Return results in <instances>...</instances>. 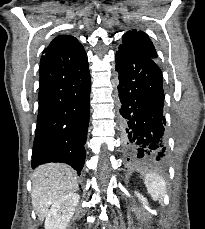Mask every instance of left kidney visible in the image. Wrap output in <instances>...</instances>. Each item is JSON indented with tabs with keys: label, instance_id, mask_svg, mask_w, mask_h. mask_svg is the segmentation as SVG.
<instances>
[{
	"label": "left kidney",
	"instance_id": "5707ae66",
	"mask_svg": "<svg viewBox=\"0 0 205 229\" xmlns=\"http://www.w3.org/2000/svg\"><path fill=\"white\" fill-rule=\"evenodd\" d=\"M136 196L139 198V200H141V202L143 203V205H147V199L145 197H143L141 194H139L138 192H135Z\"/></svg>",
	"mask_w": 205,
	"mask_h": 229
}]
</instances>
